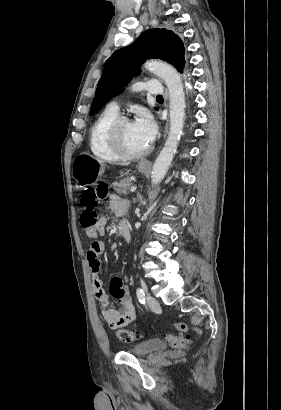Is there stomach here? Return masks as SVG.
Returning <instances> with one entry per match:
<instances>
[{
  "instance_id": "0dacf381",
  "label": "stomach",
  "mask_w": 281,
  "mask_h": 410,
  "mask_svg": "<svg viewBox=\"0 0 281 410\" xmlns=\"http://www.w3.org/2000/svg\"><path fill=\"white\" fill-rule=\"evenodd\" d=\"M137 168L141 173L147 171V167L142 164H139ZM104 171V162L89 154H80L72 163V177L77 182L79 188L94 185L100 180Z\"/></svg>"
}]
</instances>
